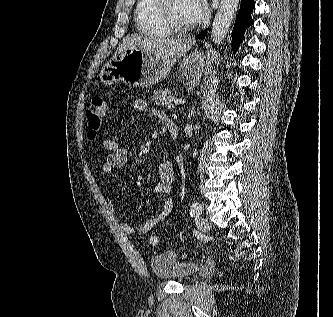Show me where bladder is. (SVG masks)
<instances>
[{
  "instance_id": "bladder-1",
  "label": "bladder",
  "mask_w": 333,
  "mask_h": 317,
  "mask_svg": "<svg viewBox=\"0 0 333 317\" xmlns=\"http://www.w3.org/2000/svg\"><path fill=\"white\" fill-rule=\"evenodd\" d=\"M153 274L160 280L183 282L191 278L198 270V264L181 259L171 251H164L150 260Z\"/></svg>"
}]
</instances>
